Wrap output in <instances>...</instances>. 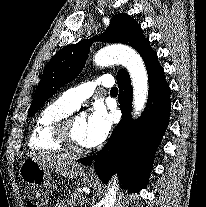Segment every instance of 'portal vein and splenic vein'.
Masks as SVG:
<instances>
[{
	"label": "portal vein and splenic vein",
	"mask_w": 206,
	"mask_h": 207,
	"mask_svg": "<svg viewBox=\"0 0 206 207\" xmlns=\"http://www.w3.org/2000/svg\"><path fill=\"white\" fill-rule=\"evenodd\" d=\"M84 201H85L84 198L82 200H80L81 203H84Z\"/></svg>",
	"instance_id": "portal-vein-and-splenic-vein-1"
}]
</instances>
